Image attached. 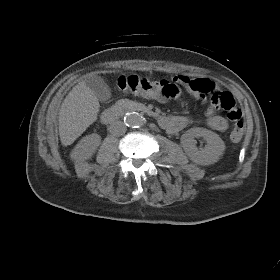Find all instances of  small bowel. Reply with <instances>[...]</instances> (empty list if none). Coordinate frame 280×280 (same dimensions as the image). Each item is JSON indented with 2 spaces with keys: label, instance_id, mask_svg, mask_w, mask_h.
Returning a JSON list of instances; mask_svg holds the SVG:
<instances>
[{
  "label": "small bowel",
  "instance_id": "small-bowel-1",
  "mask_svg": "<svg viewBox=\"0 0 280 280\" xmlns=\"http://www.w3.org/2000/svg\"><path fill=\"white\" fill-rule=\"evenodd\" d=\"M181 87L185 88L189 93H191L197 100L201 102H206L207 97L206 93L200 91L207 85H212L215 87V84L208 79L203 78H191L188 76L179 75L173 79ZM206 124L213 130L223 132L228 128V121L226 118L215 114L214 109L209 107L205 113ZM166 124L163 128L170 134H175L184 128L188 127L191 124V118L183 115L168 116L166 117Z\"/></svg>",
  "mask_w": 280,
  "mask_h": 280
}]
</instances>
